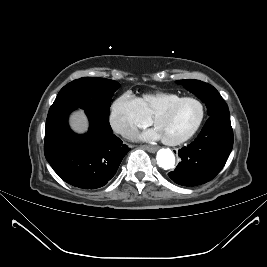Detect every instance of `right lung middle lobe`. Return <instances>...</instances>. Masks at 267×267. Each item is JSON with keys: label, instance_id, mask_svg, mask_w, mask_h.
I'll use <instances>...</instances> for the list:
<instances>
[{"label": "right lung middle lobe", "instance_id": "obj_1", "mask_svg": "<svg viewBox=\"0 0 267 267\" xmlns=\"http://www.w3.org/2000/svg\"><path fill=\"white\" fill-rule=\"evenodd\" d=\"M119 86L114 80L98 77L76 79L60 90L48 116L63 109L79 107L109 117L112 96Z\"/></svg>", "mask_w": 267, "mask_h": 267}]
</instances>
